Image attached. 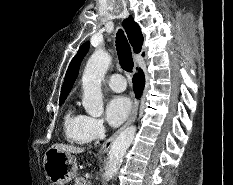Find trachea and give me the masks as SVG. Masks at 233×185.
<instances>
[{
    "label": "trachea",
    "mask_w": 233,
    "mask_h": 185,
    "mask_svg": "<svg viewBox=\"0 0 233 185\" xmlns=\"http://www.w3.org/2000/svg\"><path fill=\"white\" fill-rule=\"evenodd\" d=\"M116 50L122 69L126 72H132L134 66L132 52L128 40L122 30L117 32Z\"/></svg>",
    "instance_id": "obj_1"
}]
</instances>
